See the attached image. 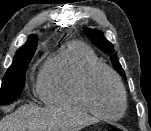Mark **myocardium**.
I'll return each instance as SVG.
<instances>
[{
  "mask_svg": "<svg viewBox=\"0 0 151 131\" xmlns=\"http://www.w3.org/2000/svg\"><path fill=\"white\" fill-rule=\"evenodd\" d=\"M105 72L107 73L115 82L121 96V109L118 114L110 116L102 113L95 105L92 94H91V84L93 78L101 73ZM80 94L85 102L87 108L90 112H92L97 117L104 119V120H117L121 118L126 110H127V93L125 90V87L123 85V82L121 81L120 77L117 75V73L111 69L109 66L103 64V63H96L92 66H90L87 71L85 72L81 83H80Z\"/></svg>",
  "mask_w": 151,
  "mask_h": 131,
  "instance_id": "1",
  "label": "myocardium"
}]
</instances>
